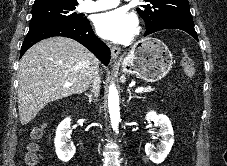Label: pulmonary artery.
Wrapping results in <instances>:
<instances>
[{"label":"pulmonary artery","mask_w":227,"mask_h":166,"mask_svg":"<svg viewBox=\"0 0 227 166\" xmlns=\"http://www.w3.org/2000/svg\"><path fill=\"white\" fill-rule=\"evenodd\" d=\"M120 0H88L80 5L82 11L97 12L118 6Z\"/></svg>","instance_id":"e3ab8cb5"}]
</instances>
